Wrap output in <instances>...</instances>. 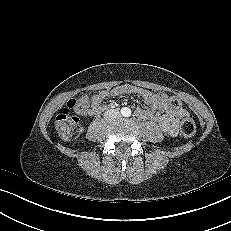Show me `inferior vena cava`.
<instances>
[{
  "label": "inferior vena cava",
  "instance_id": "inferior-vena-cava-1",
  "mask_svg": "<svg viewBox=\"0 0 231 231\" xmlns=\"http://www.w3.org/2000/svg\"><path fill=\"white\" fill-rule=\"evenodd\" d=\"M119 116H120V112L117 109L108 110L104 114L105 119H110V118L113 119V118H117Z\"/></svg>",
  "mask_w": 231,
  "mask_h": 231
}]
</instances>
